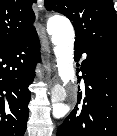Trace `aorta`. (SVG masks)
Wrapping results in <instances>:
<instances>
[{
    "label": "aorta",
    "instance_id": "762f6f07",
    "mask_svg": "<svg viewBox=\"0 0 117 136\" xmlns=\"http://www.w3.org/2000/svg\"><path fill=\"white\" fill-rule=\"evenodd\" d=\"M47 31L51 35L54 45L58 75L64 85L75 81L74 63V29L71 22L62 16H54L48 20ZM67 93L62 86H56L52 90V102L63 109Z\"/></svg>",
    "mask_w": 117,
    "mask_h": 136
}]
</instances>
